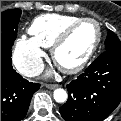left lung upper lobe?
<instances>
[{
	"instance_id": "left-lung-upper-lobe-1",
	"label": "left lung upper lobe",
	"mask_w": 121,
	"mask_h": 121,
	"mask_svg": "<svg viewBox=\"0 0 121 121\" xmlns=\"http://www.w3.org/2000/svg\"><path fill=\"white\" fill-rule=\"evenodd\" d=\"M105 46H106L105 51H108V50L121 51V42L118 39L117 35L111 30H108V36L105 40Z\"/></svg>"
}]
</instances>
